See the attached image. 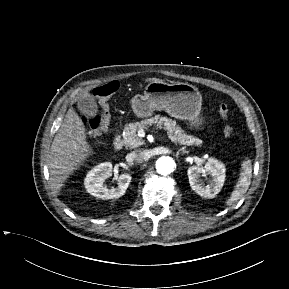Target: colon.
Wrapping results in <instances>:
<instances>
[{
	"label": "colon",
	"mask_w": 289,
	"mask_h": 289,
	"mask_svg": "<svg viewBox=\"0 0 289 289\" xmlns=\"http://www.w3.org/2000/svg\"><path fill=\"white\" fill-rule=\"evenodd\" d=\"M119 88L117 81H110L103 85L96 87L93 91L95 97L99 100L101 105V111L91 117H83L85 125L93 132H100L107 128L110 121L109 105L107 101L114 95ZM218 113L226 119L229 115V107L225 103L218 105ZM225 136L230 137L234 133V129L230 125H226L223 129Z\"/></svg>",
	"instance_id": "obj_1"
}]
</instances>
